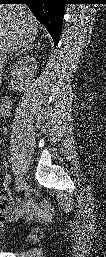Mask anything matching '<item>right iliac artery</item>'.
I'll list each match as a JSON object with an SVG mask.
<instances>
[{
	"instance_id": "1",
	"label": "right iliac artery",
	"mask_w": 106,
	"mask_h": 257,
	"mask_svg": "<svg viewBox=\"0 0 106 257\" xmlns=\"http://www.w3.org/2000/svg\"><path fill=\"white\" fill-rule=\"evenodd\" d=\"M7 181H8L9 183H12L13 188H14L15 191H17V192L19 191L18 183H17L16 180L13 181V179L11 178V175H8V176H7Z\"/></svg>"
}]
</instances>
